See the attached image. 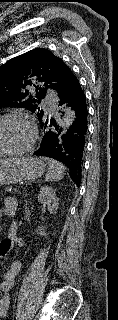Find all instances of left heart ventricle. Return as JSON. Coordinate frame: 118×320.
I'll return each mask as SVG.
<instances>
[{"label": "left heart ventricle", "mask_w": 118, "mask_h": 320, "mask_svg": "<svg viewBox=\"0 0 118 320\" xmlns=\"http://www.w3.org/2000/svg\"><path fill=\"white\" fill-rule=\"evenodd\" d=\"M31 139L27 124L19 120H7L0 123V146L8 150L25 147Z\"/></svg>", "instance_id": "obj_1"}]
</instances>
